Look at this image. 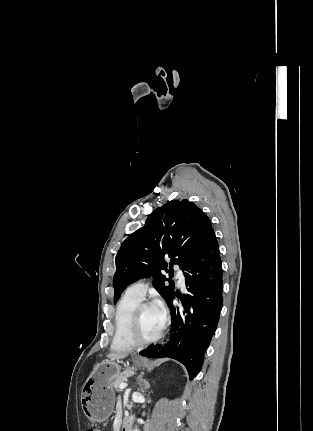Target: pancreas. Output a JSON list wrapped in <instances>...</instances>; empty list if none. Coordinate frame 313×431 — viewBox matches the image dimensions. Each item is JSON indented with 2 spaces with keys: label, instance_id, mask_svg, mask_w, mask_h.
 <instances>
[{
  "label": "pancreas",
  "instance_id": "1",
  "mask_svg": "<svg viewBox=\"0 0 313 431\" xmlns=\"http://www.w3.org/2000/svg\"><path fill=\"white\" fill-rule=\"evenodd\" d=\"M131 375H132L131 370H127L126 372H124V373L120 374V375H119V376H117V377L115 378V380L113 381V387H114L116 390H119V389H120V388H119L120 384H121V383H124L125 381H127V377H129V376H131Z\"/></svg>",
  "mask_w": 313,
  "mask_h": 431
}]
</instances>
